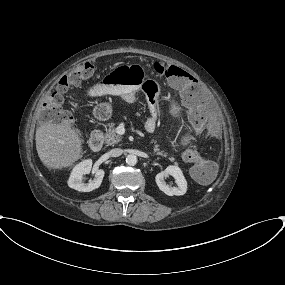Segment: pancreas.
Wrapping results in <instances>:
<instances>
[{"label": "pancreas", "instance_id": "obj_1", "mask_svg": "<svg viewBox=\"0 0 285 285\" xmlns=\"http://www.w3.org/2000/svg\"><path fill=\"white\" fill-rule=\"evenodd\" d=\"M114 123L108 124V129H106L104 140L108 146H113L121 141V137L116 133V129L114 127ZM154 144L156 143L155 141ZM154 152L157 155H161L163 157H167V154L164 151H160L159 146L157 144L154 145Z\"/></svg>", "mask_w": 285, "mask_h": 285}]
</instances>
